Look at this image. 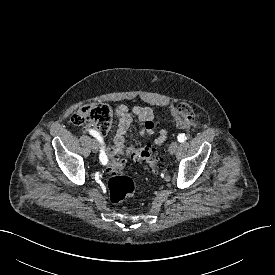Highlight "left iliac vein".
Instances as JSON below:
<instances>
[{
    "mask_svg": "<svg viewBox=\"0 0 275 275\" xmlns=\"http://www.w3.org/2000/svg\"><path fill=\"white\" fill-rule=\"evenodd\" d=\"M178 150V143L177 142H172L169 146V152L171 154L176 153V151Z\"/></svg>",
    "mask_w": 275,
    "mask_h": 275,
    "instance_id": "obj_1",
    "label": "left iliac vein"
}]
</instances>
